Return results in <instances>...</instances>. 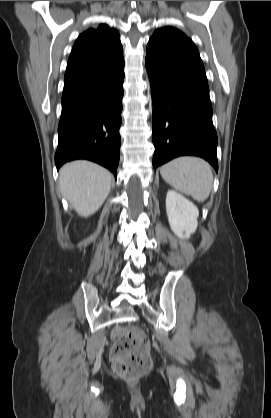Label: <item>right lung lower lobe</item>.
Returning a JSON list of instances; mask_svg holds the SVG:
<instances>
[{
  "instance_id": "98d812e1",
  "label": "right lung lower lobe",
  "mask_w": 271,
  "mask_h": 418,
  "mask_svg": "<svg viewBox=\"0 0 271 418\" xmlns=\"http://www.w3.org/2000/svg\"><path fill=\"white\" fill-rule=\"evenodd\" d=\"M124 63L91 86L62 99L55 164L88 159L117 178Z\"/></svg>"
}]
</instances>
